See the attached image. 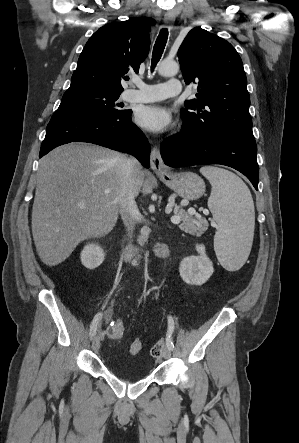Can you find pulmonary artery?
<instances>
[{
  "mask_svg": "<svg viewBox=\"0 0 299 443\" xmlns=\"http://www.w3.org/2000/svg\"><path fill=\"white\" fill-rule=\"evenodd\" d=\"M132 84L136 90H129L125 93L124 99L130 102H155L169 97L177 96L182 91L181 82L178 79H169L165 83L147 84L140 79H133Z\"/></svg>",
  "mask_w": 299,
  "mask_h": 443,
  "instance_id": "1",
  "label": "pulmonary artery"
}]
</instances>
